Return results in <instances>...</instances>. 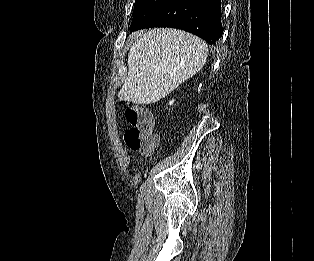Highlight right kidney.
<instances>
[{
  "label": "right kidney",
  "mask_w": 314,
  "mask_h": 261,
  "mask_svg": "<svg viewBox=\"0 0 314 261\" xmlns=\"http://www.w3.org/2000/svg\"><path fill=\"white\" fill-rule=\"evenodd\" d=\"M174 100L172 99L171 101H169V105H173Z\"/></svg>",
  "instance_id": "obj_1"
}]
</instances>
